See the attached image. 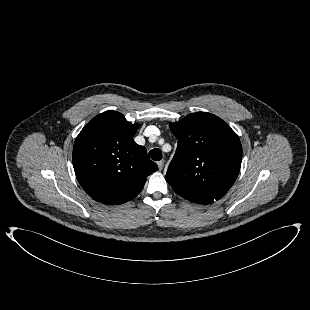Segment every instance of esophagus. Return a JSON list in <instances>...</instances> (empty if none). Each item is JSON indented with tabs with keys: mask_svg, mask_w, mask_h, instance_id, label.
<instances>
[{
	"mask_svg": "<svg viewBox=\"0 0 310 310\" xmlns=\"http://www.w3.org/2000/svg\"><path fill=\"white\" fill-rule=\"evenodd\" d=\"M158 168L159 170H162L163 166H164V160H160L157 162Z\"/></svg>",
	"mask_w": 310,
	"mask_h": 310,
	"instance_id": "obj_1",
	"label": "esophagus"
}]
</instances>
